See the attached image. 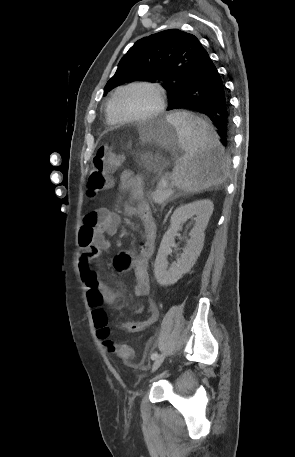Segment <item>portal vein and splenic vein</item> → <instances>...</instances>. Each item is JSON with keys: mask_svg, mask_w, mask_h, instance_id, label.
Listing matches in <instances>:
<instances>
[{"mask_svg": "<svg viewBox=\"0 0 295 457\" xmlns=\"http://www.w3.org/2000/svg\"><path fill=\"white\" fill-rule=\"evenodd\" d=\"M160 184H161L162 186H166V185H167V180H166L165 178H162V179L160 180Z\"/></svg>", "mask_w": 295, "mask_h": 457, "instance_id": "1", "label": "portal vein and splenic vein"}]
</instances>
